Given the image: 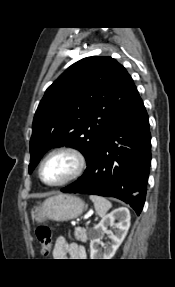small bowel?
<instances>
[{
    "mask_svg": "<svg viewBox=\"0 0 175 287\" xmlns=\"http://www.w3.org/2000/svg\"><path fill=\"white\" fill-rule=\"evenodd\" d=\"M54 256L57 259H63L68 256L74 260H84L87 254L83 246L68 244L63 237H59L55 243Z\"/></svg>",
    "mask_w": 175,
    "mask_h": 287,
    "instance_id": "small-bowel-1",
    "label": "small bowel"
}]
</instances>
